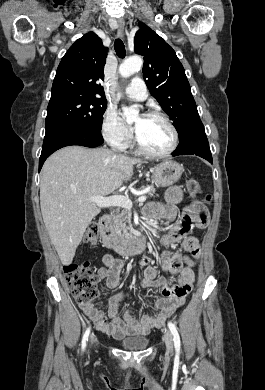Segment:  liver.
<instances>
[{"label":"liver","instance_id":"obj_1","mask_svg":"<svg viewBox=\"0 0 265 390\" xmlns=\"http://www.w3.org/2000/svg\"><path fill=\"white\" fill-rule=\"evenodd\" d=\"M143 161L106 148L67 146L44 163L40 182L43 221L63 265L75 256L87 226L101 209L89 199L106 196L133 175Z\"/></svg>","mask_w":265,"mask_h":390}]
</instances>
